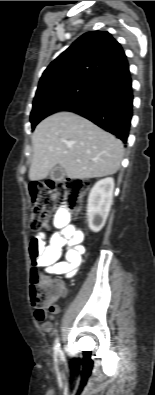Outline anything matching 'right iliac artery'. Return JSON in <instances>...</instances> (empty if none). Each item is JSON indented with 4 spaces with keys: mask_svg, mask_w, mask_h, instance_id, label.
I'll return each instance as SVG.
<instances>
[{
    "mask_svg": "<svg viewBox=\"0 0 155 395\" xmlns=\"http://www.w3.org/2000/svg\"><path fill=\"white\" fill-rule=\"evenodd\" d=\"M54 352H55V355H57L60 352V342H59L58 337L55 339Z\"/></svg>",
    "mask_w": 155,
    "mask_h": 395,
    "instance_id": "1",
    "label": "right iliac artery"
}]
</instances>
